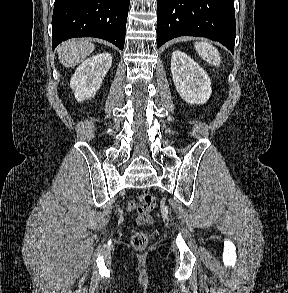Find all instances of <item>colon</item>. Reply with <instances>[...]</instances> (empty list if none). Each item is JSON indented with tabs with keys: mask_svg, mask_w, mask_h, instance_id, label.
<instances>
[{
	"mask_svg": "<svg viewBox=\"0 0 288 293\" xmlns=\"http://www.w3.org/2000/svg\"><path fill=\"white\" fill-rule=\"evenodd\" d=\"M137 213L139 223H149L151 221L150 212L155 206V199L150 194H141L137 200L131 204ZM150 241L148 234L139 232L133 235L131 243L136 250H144Z\"/></svg>",
	"mask_w": 288,
	"mask_h": 293,
	"instance_id": "colon-1",
	"label": "colon"
}]
</instances>
